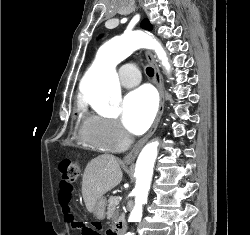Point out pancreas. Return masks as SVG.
<instances>
[{
  "instance_id": "cf45deb5",
  "label": "pancreas",
  "mask_w": 250,
  "mask_h": 235,
  "mask_svg": "<svg viewBox=\"0 0 250 235\" xmlns=\"http://www.w3.org/2000/svg\"><path fill=\"white\" fill-rule=\"evenodd\" d=\"M118 203V197H110L108 200L107 218L111 219L112 221L124 220V214L119 215L117 207Z\"/></svg>"
}]
</instances>
